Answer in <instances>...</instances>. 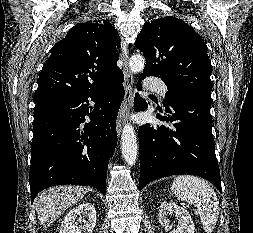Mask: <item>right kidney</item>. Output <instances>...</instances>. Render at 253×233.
<instances>
[{
  "instance_id": "1",
  "label": "right kidney",
  "mask_w": 253,
  "mask_h": 233,
  "mask_svg": "<svg viewBox=\"0 0 253 233\" xmlns=\"http://www.w3.org/2000/svg\"><path fill=\"white\" fill-rule=\"evenodd\" d=\"M83 217V225L77 219ZM86 218L87 220H85ZM96 226V210L91 203H81L71 209L62 222L60 233H92Z\"/></svg>"
}]
</instances>
